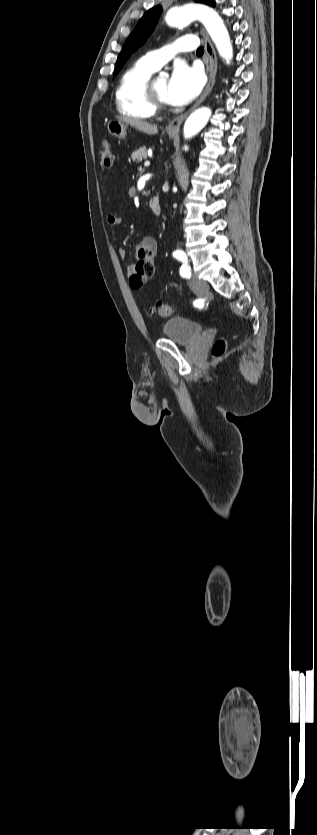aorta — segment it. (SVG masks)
Here are the masks:
<instances>
[{"label":"aorta","instance_id":"aorta-1","mask_svg":"<svg viewBox=\"0 0 317 835\" xmlns=\"http://www.w3.org/2000/svg\"><path fill=\"white\" fill-rule=\"evenodd\" d=\"M164 19L167 24L173 26L188 25L193 20H199L205 26L219 55L227 63L232 60L233 48L228 30L215 10L199 4H186L168 9L164 14ZM211 114L212 111L208 107L195 110L185 121L184 138L189 139L199 133L207 125ZM184 148L188 149L187 146Z\"/></svg>","mask_w":317,"mask_h":835}]
</instances>
